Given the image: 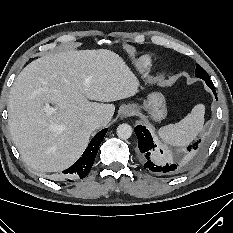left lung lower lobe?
Returning <instances> with one entry per match:
<instances>
[{
  "mask_svg": "<svg viewBox=\"0 0 233 233\" xmlns=\"http://www.w3.org/2000/svg\"><path fill=\"white\" fill-rule=\"evenodd\" d=\"M201 79L205 80L206 84L210 87L215 95V88L210 80L209 75L202 77ZM136 136L138 138V147L141 153L145 157L144 168L147 170L158 174V175H172L177 172L179 164L172 161H167L164 158L163 151L154 144L152 136L148 129L145 126H136L134 128ZM200 140L187 147V150L191 153L198 148Z\"/></svg>",
  "mask_w": 233,
  "mask_h": 233,
  "instance_id": "obj_1",
  "label": "left lung lower lobe"
}]
</instances>
